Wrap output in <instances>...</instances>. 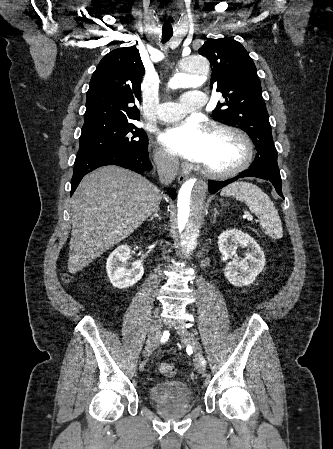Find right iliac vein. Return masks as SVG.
I'll return each mask as SVG.
<instances>
[{
	"label": "right iliac vein",
	"mask_w": 333,
	"mask_h": 449,
	"mask_svg": "<svg viewBox=\"0 0 333 449\" xmlns=\"http://www.w3.org/2000/svg\"><path fill=\"white\" fill-rule=\"evenodd\" d=\"M160 336H161V333H160L159 326L156 321H153V324L150 327L147 342H146V345H145V348L143 351L144 357L150 356L154 347L158 343Z\"/></svg>",
	"instance_id": "obj_1"
}]
</instances>
